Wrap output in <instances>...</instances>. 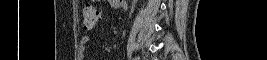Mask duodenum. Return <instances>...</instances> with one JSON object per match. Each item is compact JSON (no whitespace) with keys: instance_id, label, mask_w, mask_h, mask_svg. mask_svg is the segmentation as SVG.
I'll return each instance as SVG.
<instances>
[{"instance_id":"duodenum-1","label":"duodenum","mask_w":267,"mask_h":60,"mask_svg":"<svg viewBox=\"0 0 267 60\" xmlns=\"http://www.w3.org/2000/svg\"><path fill=\"white\" fill-rule=\"evenodd\" d=\"M126 1L123 0H114L112 1V4L115 5L116 7H122L125 4Z\"/></svg>"}]
</instances>
